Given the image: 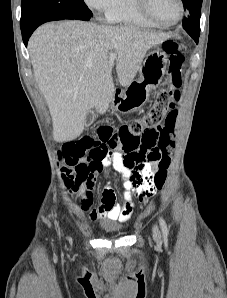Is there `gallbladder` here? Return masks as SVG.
<instances>
[{
	"label": "gallbladder",
	"instance_id": "obj_1",
	"mask_svg": "<svg viewBox=\"0 0 227 298\" xmlns=\"http://www.w3.org/2000/svg\"><path fill=\"white\" fill-rule=\"evenodd\" d=\"M95 118V113L93 110H89L86 114V119H85V126L88 127L90 126Z\"/></svg>",
	"mask_w": 227,
	"mask_h": 298
}]
</instances>
